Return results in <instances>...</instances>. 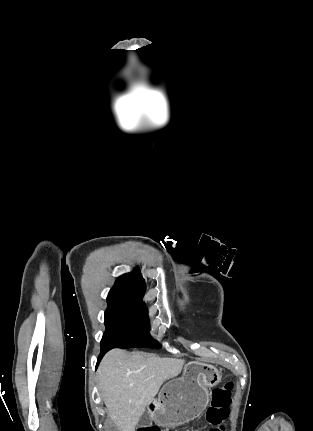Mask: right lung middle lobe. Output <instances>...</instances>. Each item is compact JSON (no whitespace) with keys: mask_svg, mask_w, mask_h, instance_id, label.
I'll return each instance as SVG.
<instances>
[{"mask_svg":"<svg viewBox=\"0 0 313 431\" xmlns=\"http://www.w3.org/2000/svg\"><path fill=\"white\" fill-rule=\"evenodd\" d=\"M105 312L106 331L101 349L147 347L160 348L149 331L148 310L145 303L108 297Z\"/></svg>","mask_w":313,"mask_h":431,"instance_id":"obj_1","label":"right lung middle lobe"}]
</instances>
